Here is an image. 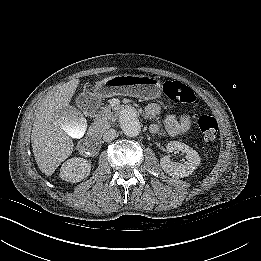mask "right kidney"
<instances>
[{
    "label": "right kidney",
    "instance_id": "ca27d5eb",
    "mask_svg": "<svg viewBox=\"0 0 261 261\" xmlns=\"http://www.w3.org/2000/svg\"><path fill=\"white\" fill-rule=\"evenodd\" d=\"M84 128H81L79 136L83 135ZM91 171V163L86 159L74 157L65 161L60 169V177L68 182H79L86 178Z\"/></svg>",
    "mask_w": 261,
    "mask_h": 261
}]
</instances>
